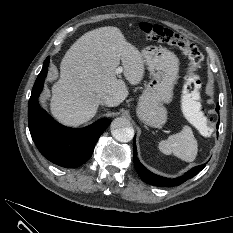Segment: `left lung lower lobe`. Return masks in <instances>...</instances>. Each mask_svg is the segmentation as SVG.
Listing matches in <instances>:
<instances>
[{
	"label": "left lung lower lobe",
	"instance_id": "0a47b994",
	"mask_svg": "<svg viewBox=\"0 0 233 233\" xmlns=\"http://www.w3.org/2000/svg\"><path fill=\"white\" fill-rule=\"evenodd\" d=\"M216 111L219 113V106L216 107ZM218 127H219V122L217 124V129H218ZM133 153H134V165H135V169H136L137 173L139 174V176L141 177V179L144 182L151 184V185H155V186L172 187V186L180 185L183 182H185L186 180L197 175L205 167V164L199 165L197 167L192 168L191 170L186 172L181 177H178L175 179H167V178L158 176L156 174H153L152 172H150L147 168H145L140 163V161L137 158V149H136V144H135V137L133 140Z\"/></svg>",
	"mask_w": 233,
	"mask_h": 233
}]
</instances>
